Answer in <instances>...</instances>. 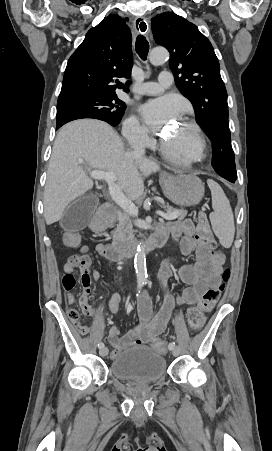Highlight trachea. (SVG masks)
Here are the masks:
<instances>
[{
	"mask_svg": "<svg viewBox=\"0 0 272 451\" xmlns=\"http://www.w3.org/2000/svg\"><path fill=\"white\" fill-rule=\"evenodd\" d=\"M138 24L141 28H144V31L146 30V24L142 22L141 19L137 21V25ZM135 48L138 55L145 60L149 51V43L143 35L137 37Z\"/></svg>",
	"mask_w": 272,
	"mask_h": 451,
	"instance_id": "trachea-1",
	"label": "trachea"
}]
</instances>
